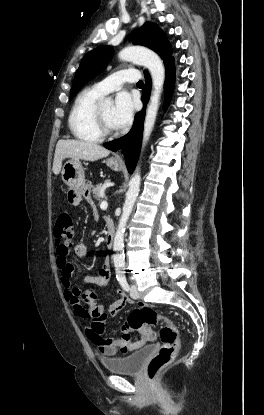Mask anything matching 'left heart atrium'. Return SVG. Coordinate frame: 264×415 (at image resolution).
<instances>
[{
  "label": "left heart atrium",
  "mask_w": 264,
  "mask_h": 415,
  "mask_svg": "<svg viewBox=\"0 0 264 415\" xmlns=\"http://www.w3.org/2000/svg\"><path fill=\"white\" fill-rule=\"evenodd\" d=\"M134 114V101L127 92H120L115 98L112 120L116 129L127 126Z\"/></svg>",
  "instance_id": "obj_1"
}]
</instances>
